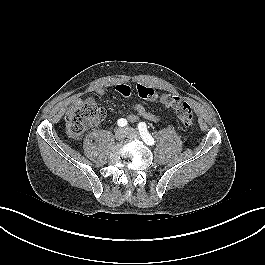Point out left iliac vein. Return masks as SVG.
I'll return each instance as SVG.
<instances>
[{
    "mask_svg": "<svg viewBox=\"0 0 265 265\" xmlns=\"http://www.w3.org/2000/svg\"><path fill=\"white\" fill-rule=\"evenodd\" d=\"M125 130H126L127 136L129 138H132V139H139L140 138L139 133L136 130H134L133 128L127 127V128H125Z\"/></svg>",
    "mask_w": 265,
    "mask_h": 265,
    "instance_id": "4c4485c4",
    "label": "left iliac vein"
}]
</instances>
